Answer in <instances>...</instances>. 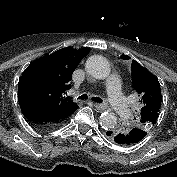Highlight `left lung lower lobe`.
Wrapping results in <instances>:
<instances>
[{
	"label": "left lung lower lobe",
	"mask_w": 177,
	"mask_h": 177,
	"mask_svg": "<svg viewBox=\"0 0 177 177\" xmlns=\"http://www.w3.org/2000/svg\"><path fill=\"white\" fill-rule=\"evenodd\" d=\"M118 129L107 131L106 134L112 141L121 146H133L135 144H138L147 135V132L145 130L138 127L127 129L121 128V130L123 131H118Z\"/></svg>",
	"instance_id": "0a47b994"
}]
</instances>
